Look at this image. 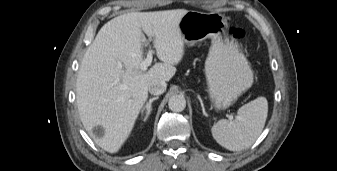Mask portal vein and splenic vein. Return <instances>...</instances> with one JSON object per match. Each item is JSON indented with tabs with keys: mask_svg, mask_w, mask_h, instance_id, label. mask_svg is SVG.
I'll use <instances>...</instances> for the list:
<instances>
[{
	"mask_svg": "<svg viewBox=\"0 0 337 171\" xmlns=\"http://www.w3.org/2000/svg\"><path fill=\"white\" fill-rule=\"evenodd\" d=\"M145 41V40H144ZM148 44V43H147ZM152 59H153V51L152 49L150 48L149 51H148V54H147V57L145 60H143L140 64V68L141 70L143 71H146L148 66H150L151 62H152ZM121 66V65H120ZM230 119H232V116H230Z\"/></svg>",
	"mask_w": 337,
	"mask_h": 171,
	"instance_id": "18ae733b",
	"label": "portal vein and splenic vein"
}]
</instances>
